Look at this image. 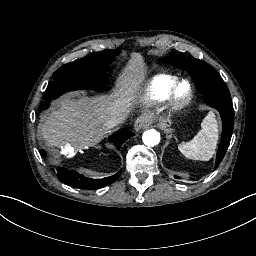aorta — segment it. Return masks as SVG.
<instances>
[{
  "label": "aorta",
  "mask_w": 256,
  "mask_h": 256,
  "mask_svg": "<svg viewBox=\"0 0 256 256\" xmlns=\"http://www.w3.org/2000/svg\"><path fill=\"white\" fill-rule=\"evenodd\" d=\"M142 140L146 146L154 147L159 145L161 141V135L157 130L149 129L144 132Z\"/></svg>",
  "instance_id": "aorta-1"
}]
</instances>
